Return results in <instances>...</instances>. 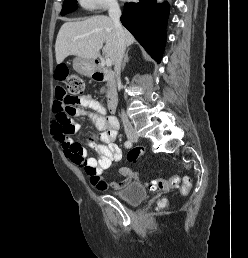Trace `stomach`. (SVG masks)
<instances>
[{
	"label": "stomach",
	"mask_w": 248,
	"mask_h": 258,
	"mask_svg": "<svg viewBox=\"0 0 248 258\" xmlns=\"http://www.w3.org/2000/svg\"><path fill=\"white\" fill-rule=\"evenodd\" d=\"M73 68L78 73L91 77L95 72V64L93 61L84 59L81 57H76L73 60Z\"/></svg>",
	"instance_id": "0dacf381"
}]
</instances>
